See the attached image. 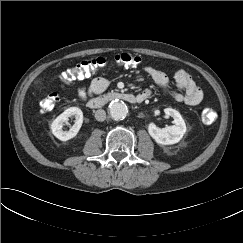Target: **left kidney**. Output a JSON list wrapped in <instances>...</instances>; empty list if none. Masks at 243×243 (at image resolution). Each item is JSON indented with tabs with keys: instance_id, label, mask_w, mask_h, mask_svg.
Wrapping results in <instances>:
<instances>
[{
	"instance_id": "left-kidney-1",
	"label": "left kidney",
	"mask_w": 243,
	"mask_h": 243,
	"mask_svg": "<svg viewBox=\"0 0 243 243\" xmlns=\"http://www.w3.org/2000/svg\"><path fill=\"white\" fill-rule=\"evenodd\" d=\"M167 116H171L174 125L165 128H159L154 123L148 126L150 136L160 145H171L178 143L186 133V124L181 114L172 108L164 109Z\"/></svg>"
}]
</instances>
